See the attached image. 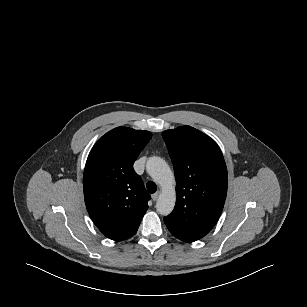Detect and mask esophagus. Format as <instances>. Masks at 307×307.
<instances>
[{
    "label": "esophagus",
    "instance_id": "1",
    "mask_svg": "<svg viewBox=\"0 0 307 307\" xmlns=\"http://www.w3.org/2000/svg\"><path fill=\"white\" fill-rule=\"evenodd\" d=\"M152 200L153 201H157V199H158V197H159V192H156V193H154V194H152Z\"/></svg>",
    "mask_w": 307,
    "mask_h": 307
}]
</instances>
